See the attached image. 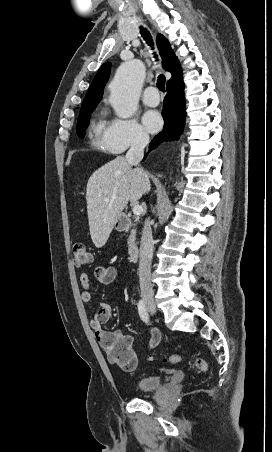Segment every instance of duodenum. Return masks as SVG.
Instances as JSON below:
<instances>
[{"mask_svg": "<svg viewBox=\"0 0 272 452\" xmlns=\"http://www.w3.org/2000/svg\"><path fill=\"white\" fill-rule=\"evenodd\" d=\"M130 227V222L126 217H123L119 226L120 230H127ZM128 256L131 261H136L139 256V246L135 243L128 247Z\"/></svg>", "mask_w": 272, "mask_h": 452, "instance_id": "410a0bca", "label": "duodenum"}]
</instances>
